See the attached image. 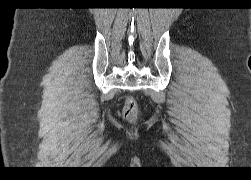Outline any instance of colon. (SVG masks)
Returning a JSON list of instances; mask_svg holds the SVG:
<instances>
[{
	"label": "colon",
	"mask_w": 251,
	"mask_h": 180,
	"mask_svg": "<svg viewBox=\"0 0 251 180\" xmlns=\"http://www.w3.org/2000/svg\"><path fill=\"white\" fill-rule=\"evenodd\" d=\"M124 117L129 121H134L139 114V107L136 100L132 97H129L126 100L124 107Z\"/></svg>",
	"instance_id": "colon-1"
}]
</instances>
